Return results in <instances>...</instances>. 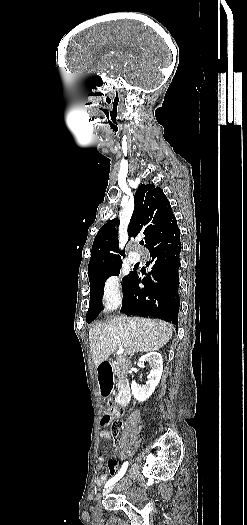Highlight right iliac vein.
I'll return each mask as SVG.
<instances>
[{
    "instance_id": "63e3f726",
    "label": "right iliac vein",
    "mask_w": 247,
    "mask_h": 525,
    "mask_svg": "<svg viewBox=\"0 0 247 525\" xmlns=\"http://www.w3.org/2000/svg\"><path fill=\"white\" fill-rule=\"evenodd\" d=\"M115 485H110L108 486L106 489L103 490L101 496L104 497L105 495H107L108 493H110L113 489H114Z\"/></svg>"
}]
</instances>
